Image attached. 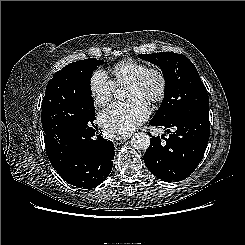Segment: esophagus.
Segmentation results:
<instances>
[{
    "instance_id": "34e87169",
    "label": "esophagus",
    "mask_w": 245,
    "mask_h": 245,
    "mask_svg": "<svg viewBox=\"0 0 245 245\" xmlns=\"http://www.w3.org/2000/svg\"><path fill=\"white\" fill-rule=\"evenodd\" d=\"M113 141H114V143H115V144H117V145H118V144L123 143V141H124V140H123V139H121V138H116V139H114Z\"/></svg>"
}]
</instances>
